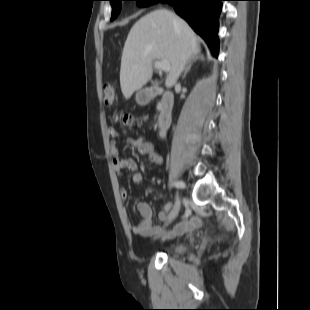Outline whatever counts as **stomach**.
Masks as SVG:
<instances>
[{"label": "stomach", "instance_id": "0dacf381", "mask_svg": "<svg viewBox=\"0 0 310 310\" xmlns=\"http://www.w3.org/2000/svg\"><path fill=\"white\" fill-rule=\"evenodd\" d=\"M136 99L139 103H144L145 100L142 98V92H138L136 95Z\"/></svg>", "mask_w": 310, "mask_h": 310}]
</instances>
